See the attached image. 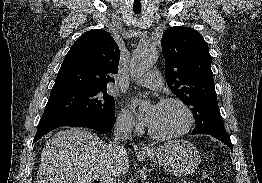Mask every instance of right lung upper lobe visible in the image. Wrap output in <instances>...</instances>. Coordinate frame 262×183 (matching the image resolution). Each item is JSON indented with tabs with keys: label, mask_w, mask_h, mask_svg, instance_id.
Here are the masks:
<instances>
[{
	"label": "right lung upper lobe",
	"mask_w": 262,
	"mask_h": 183,
	"mask_svg": "<svg viewBox=\"0 0 262 183\" xmlns=\"http://www.w3.org/2000/svg\"><path fill=\"white\" fill-rule=\"evenodd\" d=\"M119 47L105 30L80 36L67 53L51 92L78 88H106L118 72Z\"/></svg>",
	"instance_id": "1"
}]
</instances>
